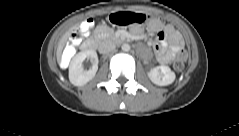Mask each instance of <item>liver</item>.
Wrapping results in <instances>:
<instances>
[{
    "label": "liver",
    "mask_w": 239,
    "mask_h": 136,
    "mask_svg": "<svg viewBox=\"0 0 239 136\" xmlns=\"http://www.w3.org/2000/svg\"><path fill=\"white\" fill-rule=\"evenodd\" d=\"M73 31V28L69 29L60 39L59 44H58V50H57V58L58 60L60 59L61 51L64 47V45L67 42L68 37L71 35Z\"/></svg>",
    "instance_id": "obj_1"
}]
</instances>
